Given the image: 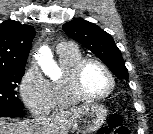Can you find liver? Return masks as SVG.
Listing matches in <instances>:
<instances>
[{
    "mask_svg": "<svg viewBox=\"0 0 153 134\" xmlns=\"http://www.w3.org/2000/svg\"><path fill=\"white\" fill-rule=\"evenodd\" d=\"M85 107L61 111L50 118H35L31 121L0 118V134H67L75 118Z\"/></svg>",
    "mask_w": 153,
    "mask_h": 134,
    "instance_id": "obj_1",
    "label": "liver"
}]
</instances>
